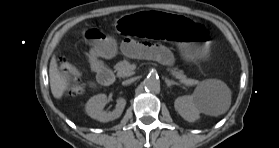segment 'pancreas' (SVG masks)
Here are the masks:
<instances>
[{
  "label": "pancreas",
  "instance_id": "obj_1",
  "mask_svg": "<svg viewBox=\"0 0 279 148\" xmlns=\"http://www.w3.org/2000/svg\"><path fill=\"white\" fill-rule=\"evenodd\" d=\"M116 71H117V76L120 78L129 77L134 74L132 65L127 60H123V61H120L119 63H117ZM168 71L170 72V74L173 77H175L176 79H179V81L182 84L196 85L199 83L197 80L187 78L186 75L184 74V72L182 70H179L177 67L168 69ZM186 82H189L190 84H187Z\"/></svg>",
  "mask_w": 279,
  "mask_h": 148
}]
</instances>
